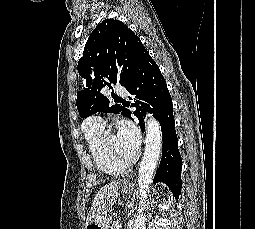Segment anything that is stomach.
<instances>
[{
  "instance_id": "obj_1",
  "label": "stomach",
  "mask_w": 255,
  "mask_h": 229,
  "mask_svg": "<svg viewBox=\"0 0 255 229\" xmlns=\"http://www.w3.org/2000/svg\"><path fill=\"white\" fill-rule=\"evenodd\" d=\"M122 192L129 194L132 192V188L124 185L122 187ZM111 222L112 216L105 214L98 221H94L86 225L85 229H109Z\"/></svg>"
}]
</instances>
